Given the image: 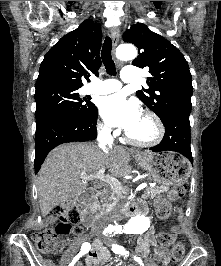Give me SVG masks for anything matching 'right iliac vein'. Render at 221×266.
<instances>
[{
	"label": "right iliac vein",
	"mask_w": 221,
	"mask_h": 266,
	"mask_svg": "<svg viewBox=\"0 0 221 266\" xmlns=\"http://www.w3.org/2000/svg\"><path fill=\"white\" fill-rule=\"evenodd\" d=\"M101 245V241L100 239L98 238L94 244V247H99Z\"/></svg>",
	"instance_id": "obj_1"
}]
</instances>
